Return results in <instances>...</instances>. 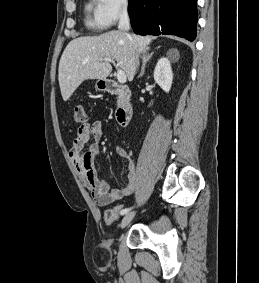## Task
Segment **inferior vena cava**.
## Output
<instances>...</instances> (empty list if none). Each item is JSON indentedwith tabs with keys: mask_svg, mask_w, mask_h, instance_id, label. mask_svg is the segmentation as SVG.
<instances>
[{
	"mask_svg": "<svg viewBox=\"0 0 259 283\" xmlns=\"http://www.w3.org/2000/svg\"><path fill=\"white\" fill-rule=\"evenodd\" d=\"M118 29L125 33L130 30V21L127 9H124L120 15ZM139 65L138 55H136V68Z\"/></svg>",
	"mask_w": 259,
	"mask_h": 283,
	"instance_id": "inferior-vena-cava-1",
	"label": "inferior vena cava"
}]
</instances>
